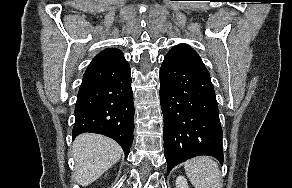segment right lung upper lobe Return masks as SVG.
Segmentation results:
<instances>
[{
    "instance_id": "cb5924a9",
    "label": "right lung upper lobe",
    "mask_w": 292,
    "mask_h": 188,
    "mask_svg": "<svg viewBox=\"0 0 292 188\" xmlns=\"http://www.w3.org/2000/svg\"><path fill=\"white\" fill-rule=\"evenodd\" d=\"M122 53L120 50L115 49V48H107L105 50H103L102 52H100L99 54H97L95 56V58H104V57H109L112 55H116Z\"/></svg>"
}]
</instances>
